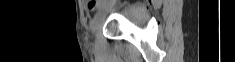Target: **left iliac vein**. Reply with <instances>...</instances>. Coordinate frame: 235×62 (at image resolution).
Masks as SVG:
<instances>
[{
    "mask_svg": "<svg viewBox=\"0 0 235 62\" xmlns=\"http://www.w3.org/2000/svg\"><path fill=\"white\" fill-rule=\"evenodd\" d=\"M113 4L102 5L91 22V31L95 34L101 27L106 15L112 10Z\"/></svg>",
    "mask_w": 235,
    "mask_h": 62,
    "instance_id": "obj_1",
    "label": "left iliac vein"
}]
</instances>
